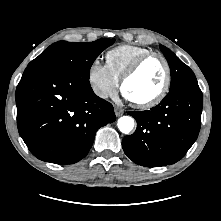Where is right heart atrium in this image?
I'll list each match as a JSON object with an SVG mask.
<instances>
[{
	"mask_svg": "<svg viewBox=\"0 0 221 221\" xmlns=\"http://www.w3.org/2000/svg\"><path fill=\"white\" fill-rule=\"evenodd\" d=\"M87 82L91 91L99 99H116L118 96V81L98 59L92 60L87 69Z\"/></svg>",
	"mask_w": 221,
	"mask_h": 221,
	"instance_id": "1",
	"label": "right heart atrium"
}]
</instances>
